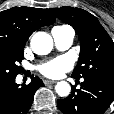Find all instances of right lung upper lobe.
Returning a JSON list of instances; mask_svg holds the SVG:
<instances>
[{
	"instance_id": "right-lung-upper-lobe-1",
	"label": "right lung upper lobe",
	"mask_w": 114,
	"mask_h": 114,
	"mask_svg": "<svg viewBox=\"0 0 114 114\" xmlns=\"http://www.w3.org/2000/svg\"><path fill=\"white\" fill-rule=\"evenodd\" d=\"M55 21L48 9L13 7L0 12V42L25 46L29 36L38 28Z\"/></svg>"
}]
</instances>
